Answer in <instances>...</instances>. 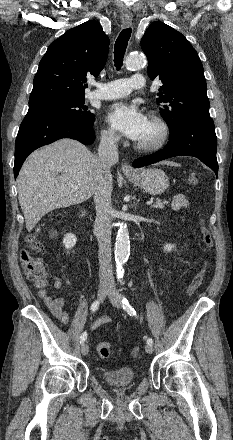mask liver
Segmentation results:
<instances>
[{
	"instance_id": "6515ba94",
	"label": "liver",
	"mask_w": 233,
	"mask_h": 440,
	"mask_svg": "<svg viewBox=\"0 0 233 440\" xmlns=\"http://www.w3.org/2000/svg\"><path fill=\"white\" fill-rule=\"evenodd\" d=\"M102 178L98 157L76 140L61 139L34 151L17 178L27 230L47 213L91 198ZM107 179L112 183L111 173Z\"/></svg>"
}]
</instances>
